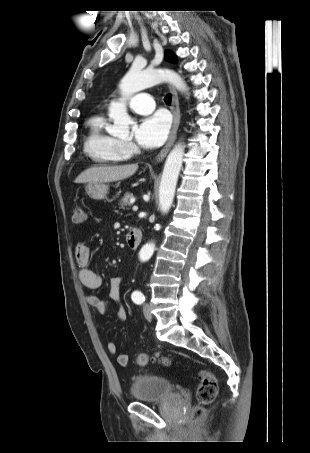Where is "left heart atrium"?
I'll return each instance as SVG.
<instances>
[{"label": "left heart atrium", "mask_w": 310, "mask_h": 453, "mask_svg": "<svg viewBox=\"0 0 310 453\" xmlns=\"http://www.w3.org/2000/svg\"><path fill=\"white\" fill-rule=\"evenodd\" d=\"M170 119L162 112L143 118L134 130L136 141L144 148L160 146L167 138Z\"/></svg>", "instance_id": "1"}]
</instances>
